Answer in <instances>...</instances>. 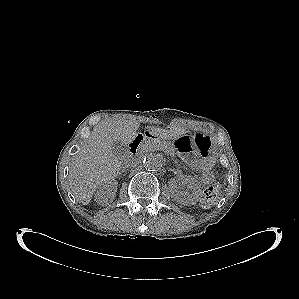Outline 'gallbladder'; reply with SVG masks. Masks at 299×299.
Wrapping results in <instances>:
<instances>
[{"instance_id": "gallbladder-1", "label": "gallbladder", "mask_w": 299, "mask_h": 299, "mask_svg": "<svg viewBox=\"0 0 299 299\" xmlns=\"http://www.w3.org/2000/svg\"><path fill=\"white\" fill-rule=\"evenodd\" d=\"M112 150L118 157H125L129 153L127 145L121 141H115L112 145Z\"/></svg>"}]
</instances>
